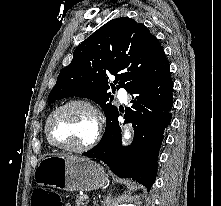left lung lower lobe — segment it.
<instances>
[{"mask_svg":"<svg viewBox=\"0 0 221 206\" xmlns=\"http://www.w3.org/2000/svg\"><path fill=\"white\" fill-rule=\"evenodd\" d=\"M172 89L170 68L136 86L130 91L132 106L125 114V119L134 126L132 144L126 148L121 146L117 112L109 132L83 155L102 160L116 175L132 178L150 190L156 178L164 129L171 121Z\"/></svg>","mask_w":221,"mask_h":206,"instance_id":"0a47b994","label":"left lung lower lobe"}]
</instances>
